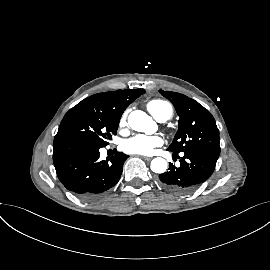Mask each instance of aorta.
Masks as SVG:
<instances>
[{
  "instance_id": "aorta-1",
  "label": "aorta",
  "mask_w": 270,
  "mask_h": 270,
  "mask_svg": "<svg viewBox=\"0 0 270 270\" xmlns=\"http://www.w3.org/2000/svg\"><path fill=\"white\" fill-rule=\"evenodd\" d=\"M128 124L133 130L145 132L146 134H152L157 129V125L153 119L140 110L132 111L129 114ZM150 167L155 173H164L167 169V161L161 157L154 158L151 161Z\"/></svg>"
}]
</instances>
